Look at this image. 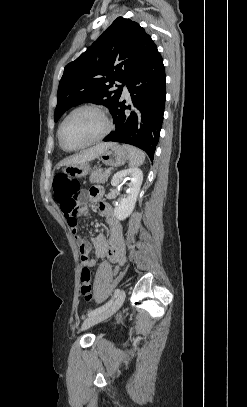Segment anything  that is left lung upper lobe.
I'll use <instances>...</instances> for the list:
<instances>
[{
    "instance_id": "1",
    "label": "left lung upper lobe",
    "mask_w": 247,
    "mask_h": 407,
    "mask_svg": "<svg viewBox=\"0 0 247 407\" xmlns=\"http://www.w3.org/2000/svg\"><path fill=\"white\" fill-rule=\"evenodd\" d=\"M156 45L138 23L118 17L64 70L58 88L54 120L73 106L96 103L115 109L123 86L149 59ZM115 82L123 85L113 90Z\"/></svg>"
}]
</instances>
